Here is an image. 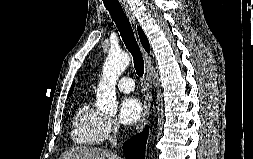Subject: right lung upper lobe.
I'll return each instance as SVG.
<instances>
[{
	"label": "right lung upper lobe",
	"instance_id": "right-lung-upper-lobe-1",
	"mask_svg": "<svg viewBox=\"0 0 253 159\" xmlns=\"http://www.w3.org/2000/svg\"><path fill=\"white\" fill-rule=\"evenodd\" d=\"M138 29V34H139V37H140V41L144 47V49L147 51V52H150V45H149V42H148V39L146 37V35L144 34L143 30L140 28V27H137ZM74 83L69 91V95L70 96L73 92V88H74Z\"/></svg>",
	"mask_w": 253,
	"mask_h": 159
}]
</instances>
